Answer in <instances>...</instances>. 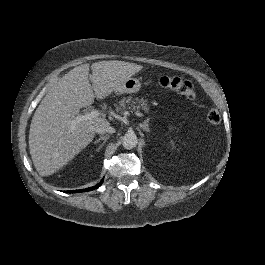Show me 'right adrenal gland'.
Wrapping results in <instances>:
<instances>
[{
	"mask_svg": "<svg viewBox=\"0 0 265 265\" xmlns=\"http://www.w3.org/2000/svg\"><path fill=\"white\" fill-rule=\"evenodd\" d=\"M109 138V135L105 134V135H101L97 140H95V144L98 143L100 140H105L107 141V139ZM99 150V149H98Z\"/></svg>",
	"mask_w": 265,
	"mask_h": 265,
	"instance_id": "2a0ac1e0",
	"label": "right adrenal gland"
}]
</instances>
